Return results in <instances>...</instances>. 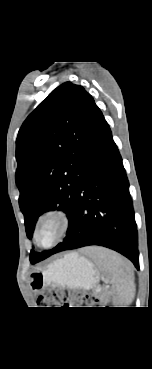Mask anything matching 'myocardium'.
<instances>
[{
  "instance_id": "obj_1",
  "label": "myocardium",
  "mask_w": 152,
  "mask_h": 369,
  "mask_svg": "<svg viewBox=\"0 0 152 369\" xmlns=\"http://www.w3.org/2000/svg\"><path fill=\"white\" fill-rule=\"evenodd\" d=\"M55 221L58 225V233L54 240L48 244L43 245L40 242L39 234L42 227L48 222V221ZM70 227V218L67 212L60 208H52L47 211H45L38 219L35 232H34V240L36 244L43 248V249H50L56 246L60 241L63 240V238L67 235V232Z\"/></svg>"
}]
</instances>
